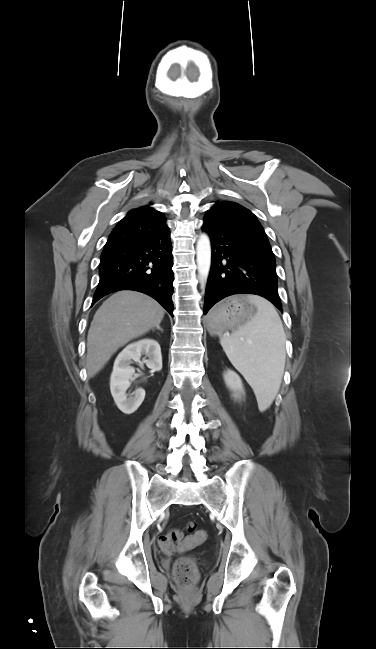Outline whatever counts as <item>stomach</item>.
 Masks as SVG:
<instances>
[{"label":"stomach","mask_w":376,"mask_h":649,"mask_svg":"<svg viewBox=\"0 0 376 649\" xmlns=\"http://www.w3.org/2000/svg\"><path fill=\"white\" fill-rule=\"evenodd\" d=\"M255 305L248 295L229 297L216 305L208 316V330L211 334H221L247 323L255 315Z\"/></svg>","instance_id":"0dacf381"}]
</instances>
